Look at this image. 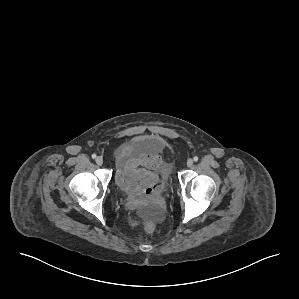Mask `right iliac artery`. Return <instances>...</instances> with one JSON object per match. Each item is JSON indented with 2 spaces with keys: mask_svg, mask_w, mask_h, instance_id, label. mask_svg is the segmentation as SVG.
<instances>
[{
  "mask_svg": "<svg viewBox=\"0 0 299 299\" xmlns=\"http://www.w3.org/2000/svg\"><path fill=\"white\" fill-rule=\"evenodd\" d=\"M97 156L96 154H92V158L95 159Z\"/></svg>",
  "mask_w": 299,
  "mask_h": 299,
  "instance_id": "1",
  "label": "right iliac artery"
}]
</instances>
